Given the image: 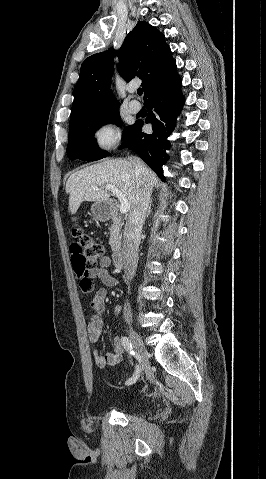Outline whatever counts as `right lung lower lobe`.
<instances>
[{
	"mask_svg": "<svg viewBox=\"0 0 266 479\" xmlns=\"http://www.w3.org/2000/svg\"><path fill=\"white\" fill-rule=\"evenodd\" d=\"M148 108L146 123L152 124L153 133L141 131L144 122L137 120L133 124L120 148L128 147L151 167L156 174L164 179L162 166L168 159L166 149L170 136L176 124V117L184 104L181 93V78L175 76L170 81L152 91L145 99ZM154 110V112L152 111Z\"/></svg>",
	"mask_w": 266,
	"mask_h": 479,
	"instance_id": "1",
	"label": "right lung lower lobe"
}]
</instances>
